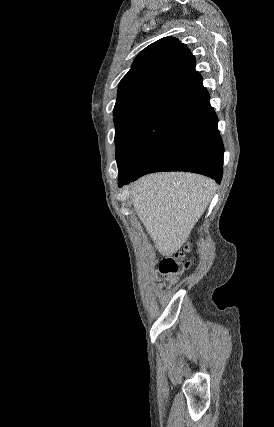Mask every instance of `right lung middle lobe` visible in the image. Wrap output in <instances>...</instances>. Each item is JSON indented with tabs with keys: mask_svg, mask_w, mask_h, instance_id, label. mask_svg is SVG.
<instances>
[{
	"mask_svg": "<svg viewBox=\"0 0 274 427\" xmlns=\"http://www.w3.org/2000/svg\"><path fill=\"white\" fill-rule=\"evenodd\" d=\"M173 106V103L155 96L114 109L118 166L128 167L134 163Z\"/></svg>",
	"mask_w": 274,
	"mask_h": 427,
	"instance_id": "right-lung-middle-lobe-1",
	"label": "right lung middle lobe"
}]
</instances>
